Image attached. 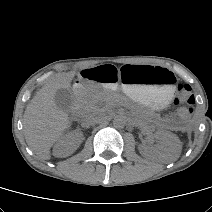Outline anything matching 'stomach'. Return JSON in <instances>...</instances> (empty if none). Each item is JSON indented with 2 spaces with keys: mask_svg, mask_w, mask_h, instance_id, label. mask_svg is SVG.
Returning a JSON list of instances; mask_svg holds the SVG:
<instances>
[{
  "mask_svg": "<svg viewBox=\"0 0 212 212\" xmlns=\"http://www.w3.org/2000/svg\"><path fill=\"white\" fill-rule=\"evenodd\" d=\"M87 81L107 86L150 109H161L174 92V75L160 66H118L98 64L82 71Z\"/></svg>",
  "mask_w": 212,
  "mask_h": 212,
  "instance_id": "0dacf381",
  "label": "stomach"
}]
</instances>
